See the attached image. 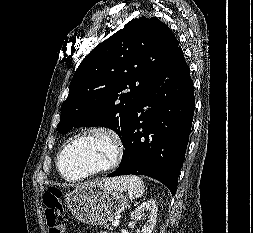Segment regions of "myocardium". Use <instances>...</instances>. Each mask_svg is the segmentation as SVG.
<instances>
[{
	"label": "myocardium",
	"mask_w": 253,
	"mask_h": 233,
	"mask_svg": "<svg viewBox=\"0 0 253 233\" xmlns=\"http://www.w3.org/2000/svg\"><path fill=\"white\" fill-rule=\"evenodd\" d=\"M91 135H103L105 137H107L108 139H110V141L113 144V148H114V153L113 156L111 158V160L106 163L105 165L96 168L88 173H85L83 175L80 176H76V177H70L68 175H66L61 168V162H62V157L64 155V153L66 152V150L68 149V147L73 144L76 141H79L81 139H84L88 136ZM125 154V146H124V142L123 139L121 137V135L114 129L107 127V126H102V125H97V126H91L89 128H86L82 131H80L79 133L73 135L72 137H70L62 146L61 150L59 151L58 155H57V170L58 173L60 174V176L65 179L66 181L69 182H78L90 177H93L95 175L101 174V173H105V172H109L113 169H115L122 161L123 157Z\"/></svg>",
	"instance_id": "obj_1"
}]
</instances>
